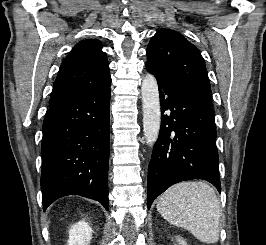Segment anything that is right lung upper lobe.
<instances>
[{"label": "right lung upper lobe", "mask_w": 266, "mask_h": 245, "mask_svg": "<svg viewBox=\"0 0 266 245\" xmlns=\"http://www.w3.org/2000/svg\"><path fill=\"white\" fill-rule=\"evenodd\" d=\"M99 40L78 43L63 60L54 82L50 106L58 104L83 88L111 82L106 53Z\"/></svg>", "instance_id": "obj_1"}]
</instances>
